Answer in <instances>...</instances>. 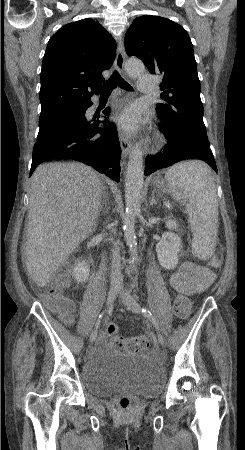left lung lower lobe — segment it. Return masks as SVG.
<instances>
[{
    "mask_svg": "<svg viewBox=\"0 0 245 450\" xmlns=\"http://www.w3.org/2000/svg\"><path fill=\"white\" fill-rule=\"evenodd\" d=\"M160 131L168 137V143L163 153L147 157L145 175H149L156 170L169 167L185 159L204 160L217 171L209 142L189 137L174 136L168 132L163 124L161 125Z\"/></svg>",
    "mask_w": 245,
    "mask_h": 450,
    "instance_id": "0a47b994",
    "label": "left lung lower lobe"
}]
</instances>
